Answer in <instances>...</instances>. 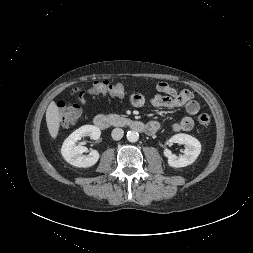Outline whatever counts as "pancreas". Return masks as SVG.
Listing matches in <instances>:
<instances>
[{"instance_id":"pancreas-1","label":"pancreas","mask_w":253,"mask_h":253,"mask_svg":"<svg viewBox=\"0 0 253 253\" xmlns=\"http://www.w3.org/2000/svg\"><path fill=\"white\" fill-rule=\"evenodd\" d=\"M111 123L115 126H122L126 123L127 119L118 114H109Z\"/></svg>"}]
</instances>
